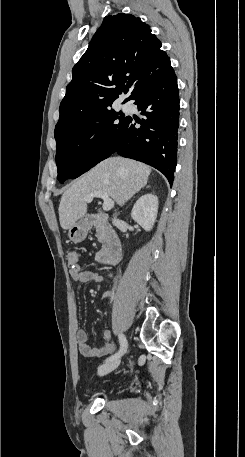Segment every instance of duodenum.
Masks as SVG:
<instances>
[{
	"label": "duodenum",
	"mask_w": 245,
	"mask_h": 457,
	"mask_svg": "<svg viewBox=\"0 0 245 457\" xmlns=\"http://www.w3.org/2000/svg\"><path fill=\"white\" fill-rule=\"evenodd\" d=\"M86 223L89 225H101L108 232L106 243L97 254V260L103 264H117L122 257V246L120 239L110 228L108 215H90L87 217Z\"/></svg>",
	"instance_id": "1"
}]
</instances>
